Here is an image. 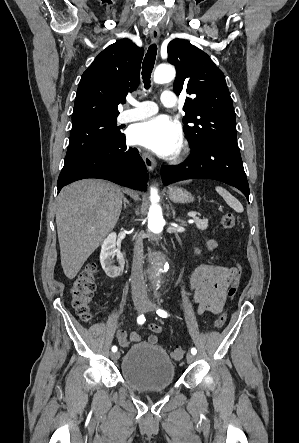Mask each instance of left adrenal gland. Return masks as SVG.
Here are the masks:
<instances>
[{
	"instance_id": "a2214340",
	"label": "left adrenal gland",
	"mask_w": 299,
	"mask_h": 443,
	"mask_svg": "<svg viewBox=\"0 0 299 443\" xmlns=\"http://www.w3.org/2000/svg\"><path fill=\"white\" fill-rule=\"evenodd\" d=\"M173 218H175V212L174 211H173ZM175 220L178 221V222H183L182 220H180L178 218H176Z\"/></svg>"
}]
</instances>
